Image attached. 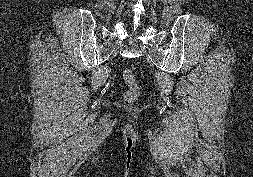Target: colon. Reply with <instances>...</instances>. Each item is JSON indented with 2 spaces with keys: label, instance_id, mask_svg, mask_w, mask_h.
Masks as SVG:
<instances>
[{
  "label": "colon",
  "instance_id": "colon-1",
  "mask_svg": "<svg viewBox=\"0 0 253 177\" xmlns=\"http://www.w3.org/2000/svg\"><path fill=\"white\" fill-rule=\"evenodd\" d=\"M123 78L128 85L124 93V98L128 102H134L140 95V87L137 83L136 76L131 69L125 68L123 70Z\"/></svg>",
  "mask_w": 253,
  "mask_h": 177
}]
</instances>
